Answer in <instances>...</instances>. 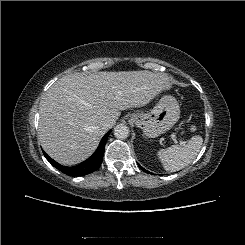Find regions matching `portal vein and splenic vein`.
Masks as SVG:
<instances>
[{
	"label": "portal vein and splenic vein",
	"instance_id": "obj_1",
	"mask_svg": "<svg viewBox=\"0 0 245 245\" xmlns=\"http://www.w3.org/2000/svg\"><path fill=\"white\" fill-rule=\"evenodd\" d=\"M171 139L174 141V142H177V140L179 141V143L182 145V146H185L186 145V142L185 141H182L181 139H178L177 136L172 133L170 135Z\"/></svg>",
	"mask_w": 245,
	"mask_h": 245
}]
</instances>
